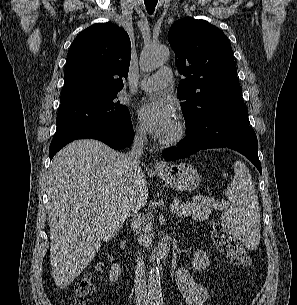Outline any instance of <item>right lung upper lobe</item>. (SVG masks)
<instances>
[{"mask_svg": "<svg viewBox=\"0 0 297 305\" xmlns=\"http://www.w3.org/2000/svg\"><path fill=\"white\" fill-rule=\"evenodd\" d=\"M131 43L126 31L97 23L82 31L67 54L60 100L94 92L120 91L127 78Z\"/></svg>", "mask_w": 297, "mask_h": 305, "instance_id": "obj_1", "label": "right lung upper lobe"}]
</instances>
